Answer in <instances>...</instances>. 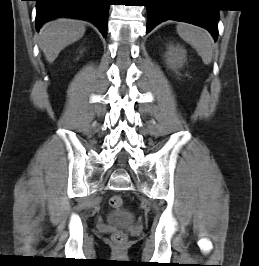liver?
<instances>
[{
	"mask_svg": "<svg viewBox=\"0 0 259 266\" xmlns=\"http://www.w3.org/2000/svg\"><path fill=\"white\" fill-rule=\"evenodd\" d=\"M86 31L81 21L58 18L43 25L39 33V46L46 60L53 63L68 45L81 39Z\"/></svg>",
	"mask_w": 259,
	"mask_h": 266,
	"instance_id": "obj_1",
	"label": "liver"
}]
</instances>
